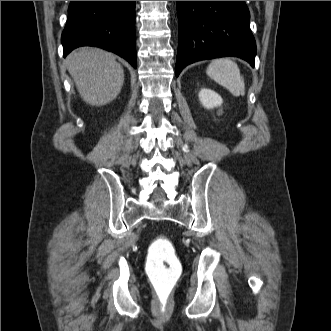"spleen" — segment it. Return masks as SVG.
Instances as JSON below:
<instances>
[{"instance_id": "1", "label": "spleen", "mask_w": 331, "mask_h": 331, "mask_svg": "<svg viewBox=\"0 0 331 331\" xmlns=\"http://www.w3.org/2000/svg\"><path fill=\"white\" fill-rule=\"evenodd\" d=\"M218 84L227 88L234 96L245 94V84L237 64L229 58L213 60L206 71Z\"/></svg>"}]
</instances>
